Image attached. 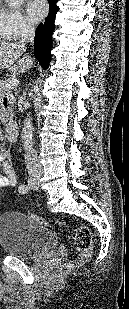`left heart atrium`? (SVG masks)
I'll list each match as a JSON object with an SVG mask.
<instances>
[{"instance_id": "1", "label": "left heart atrium", "mask_w": 129, "mask_h": 309, "mask_svg": "<svg viewBox=\"0 0 129 309\" xmlns=\"http://www.w3.org/2000/svg\"><path fill=\"white\" fill-rule=\"evenodd\" d=\"M26 10L30 20L36 23L46 15L47 5L45 0H28Z\"/></svg>"}]
</instances>
